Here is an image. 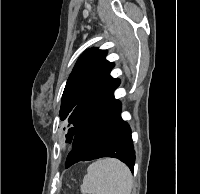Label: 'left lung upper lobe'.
Wrapping results in <instances>:
<instances>
[{
    "instance_id": "left-lung-upper-lobe-1",
    "label": "left lung upper lobe",
    "mask_w": 201,
    "mask_h": 194,
    "mask_svg": "<svg viewBox=\"0 0 201 194\" xmlns=\"http://www.w3.org/2000/svg\"><path fill=\"white\" fill-rule=\"evenodd\" d=\"M106 50L89 49L78 59L62 97L60 119L67 123V137L77 130L113 97L120 80L110 76L114 63L105 59Z\"/></svg>"
}]
</instances>
